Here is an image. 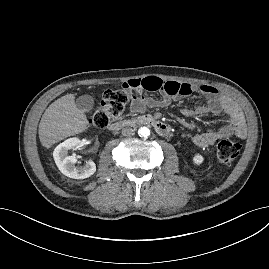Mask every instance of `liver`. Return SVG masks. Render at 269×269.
<instances>
[{"label":"liver","instance_id":"1","mask_svg":"<svg viewBox=\"0 0 269 269\" xmlns=\"http://www.w3.org/2000/svg\"><path fill=\"white\" fill-rule=\"evenodd\" d=\"M88 119L75 104L74 94L55 100L44 112L39 124V139L43 147L53 144L87 129Z\"/></svg>","mask_w":269,"mask_h":269}]
</instances>
